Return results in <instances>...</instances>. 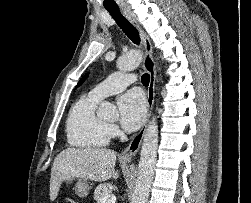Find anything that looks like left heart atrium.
I'll use <instances>...</instances> for the list:
<instances>
[{
    "mask_svg": "<svg viewBox=\"0 0 251 203\" xmlns=\"http://www.w3.org/2000/svg\"><path fill=\"white\" fill-rule=\"evenodd\" d=\"M118 110L122 127L128 131H134L145 120L147 113L146 100L139 91L131 90L118 99Z\"/></svg>",
    "mask_w": 251,
    "mask_h": 203,
    "instance_id": "1",
    "label": "left heart atrium"
}]
</instances>
